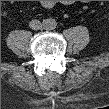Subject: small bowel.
<instances>
[{
    "label": "small bowel",
    "mask_w": 109,
    "mask_h": 109,
    "mask_svg": "<svg viewBox=\"0 0 109 109\" xmlns=\"http://www.w3.org/2000/svg\"><path fill=\"white\" fill-rule=\"evenodd\" d=\"M44 6L45 7H50L51 6V1H45Z\"/></svg>",
    "instance_id": "obj_1"
}]
</instances>
